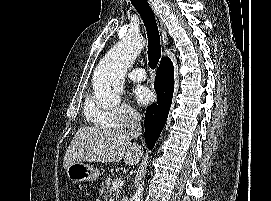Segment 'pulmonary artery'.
<instances>
[{
	"mask_svg": "<svg viewBox=\"0 0 271 201\" xmlns=\"http://www.w3.org/2000/svg\"><path fill=\"white\" fill-rule=\"evenodd\" d=\"M128 77L134 82H142L146 79V73L143 68H136L128 73Z\"/></svg>",
	"mask_w": 271,
	"mask_h": 201,
	"instance_id": "e3ab8cb5",
	"label": "pulmonary artery"
}]
</instances>
